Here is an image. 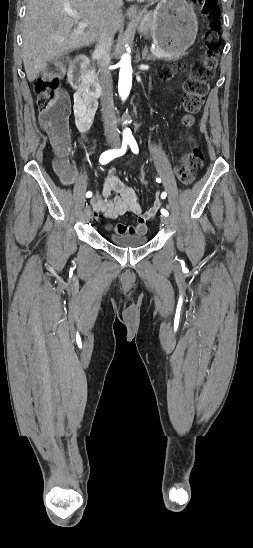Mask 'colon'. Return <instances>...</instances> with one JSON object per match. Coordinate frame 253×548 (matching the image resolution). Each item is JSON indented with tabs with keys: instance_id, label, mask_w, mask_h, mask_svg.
Wrapping results in <instances>:
<instances>
[{
	"instance_id": "5ec220e1",
	"label": "colon",
	"mask_w": 253,
	"mask_h": 548,
	"mask_svg": "<svg viewBox=\"0 0 253 548\" xmlns=\"http://www.w3.org/2000/svg\"><path fill=\"white\" fill-rule=\"evenodd\" d=\"M199 4L208 17V31L204 36L205 53L201 59L195 61L190 69L188 80L184 83L183 108L188 114L183 120L185 127L192 122V115L199 112L209 89V82L213 78L218 64V50L222 39L219 32L220 21L218 18V0H192ZM183 64L177 62L173 68H164L160 77L169 80L174 70H181ZM63 71L61 61L54 62L49 69L41 73L36 79L34 91L37 97V105L40 113V123L48 131L53 139L56 151L63 157L69 151L68 116L70 103L67 95L60 89V76ZM203 165V154L196 147L190 149L182 157L180 165L176 168V176L183 184H190L197 171ZM56 170L60 174H68L71 166L60 158L55 163ZM146 170L140 169L138 174L140 182H149Z\"/></svg>"
}]
</instances>
